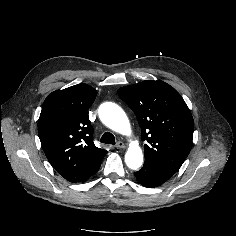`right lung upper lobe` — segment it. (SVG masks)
Here are the masks:
<instances>
[{
  "label": "right lung upper lobe",
  "mask_w": 236,
  "mask_h": 236,
  "mask_svg": "<svg viewBox=\"0 0 236 236\" xmlns=\"http://www.w3.org/2000/svg\"><path fill=\"white\" fill-rule=\"evenodd\" d=\"M97 92L86 84L56 90L45 99L38 135L52 167L70 182H82L101 165L107 150L94 145L87 114Z\"/></svg>",
  "instance_id": "1"
}]
</instances>
